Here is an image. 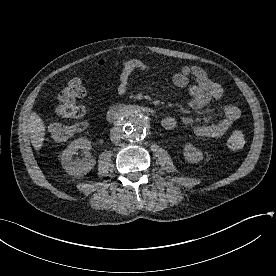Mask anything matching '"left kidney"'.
I'll list each match as a JSON object with an SVG mask.
<instances>
[{
  "label": "left kidney",
  "mask_w": 276,
  "mask_h": 276,
  "mask_svg": "<svg viewBox=\"0 0 276 276\" xmlns=\"http://www.w3.org/2000/svg\"><path fill=\"white\" fill-rule=\"evenodd\" d=\"M183 155L190 163H198L204 158L203 153L191 144L185 145Z\"/></svg>",
  "instance_id": "obj_1"
}]
</instances>
